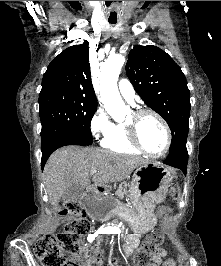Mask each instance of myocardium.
Instances as JSON below:
<instances>
[{
	"instance_id": "myocardium-1",
	"label": "myocardium",
	"mask_w": 221,
	"mask_h": 266,
	"mask_svg": "<svg viewBox=\"0 0 221 266\" xmlns=\"http://www.w3.org/2000/svg\"><path fill=\"white\" fill-rule=\"evenodd\" d=\"M145 115L154 116L160 122L162 127L164 128L166 140H165L164 148L160 152H157V153L150 152L140 142V139L138 136V122ZM132 117H133V119L131 122L124 124L126 131H127L129 141L131 142V144L136 149H138L140 152H142L143 154H145L146 156H149L151 158H160V157H163L165 154H167V152L169 151L170 146H171L172 135H171L170 127H169L168 123L166 122V120L159 113H157L156 111L151 110V109L136 110L132 113Z\"/></svg>"
}]
</instances>
